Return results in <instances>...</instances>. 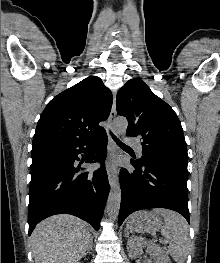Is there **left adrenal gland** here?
<instances>
[{
  "label": "left adrenal gland",
  "mask_w": 220,
  "mask_h": 263,
  "mask_svg": "<svg viewBox=\"0 0 220 263\" xmlns=\"http://www.w3.org/2000/svg\"><path fill=\"white\" fill-rule=\"evenodd\" d=\"M125 235H126V237H129V232L127 229H125Z\"/></svg>",
  "instance_id": "left-adrenal-gland-1"
}]
</instances>
